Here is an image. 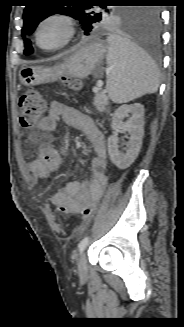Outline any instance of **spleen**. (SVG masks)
Segmentation results:
<instances>
[{
    "mask_svg": "<svg viewBox=\"0 0 184 327\" xmlns=\"http://www.w3.org/2000/svg\"><path fill=\"white\" fill-rule=\"evenodd\" d=\"M109 77L106 89L114 103L132 101L159 87V72L148 54L130 40L116 34L107 38Z\"/></svg>",
    "mask_w": 184,
    "mask_h": 327,
    "instance_id": "spleen-1",
    "label": "spleen"
}]
</instances>
